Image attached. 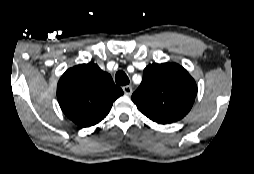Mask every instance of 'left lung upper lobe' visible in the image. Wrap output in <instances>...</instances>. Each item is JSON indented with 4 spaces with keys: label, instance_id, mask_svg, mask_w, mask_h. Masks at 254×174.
<instances>
[{
    "label": "left lung upper lobe",
    "instance_id": "left-lung-upper-lobe-1",
    "mask_svg": "<svg viewBox=\"0 0 254 174\" xmlns=\"http://www.w3.org/2000/svg\"><path fill=\"white\" fill-rule=\"evenodd\" d=\"M197 86L190 74L176 63L150 64L131 99L154 122L167 124L182 119L191 109Z\"/></svg>",
    "mask_w": 254,
    "mask_h": 174
}]
</instances>
